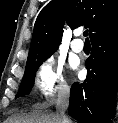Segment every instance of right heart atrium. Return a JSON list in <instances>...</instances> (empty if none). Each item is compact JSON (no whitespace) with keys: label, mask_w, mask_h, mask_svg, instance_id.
<instances>
[{"label":"right heart atrium","mask_w":118,"mask_h":123,"mask_svg":"<svg viewBox=\"0 0 118 123\" xmlns=\"http://www.w3.org/2000/svg\"><path fill=\"white\" fill-rule=\"evenodd\" d=\"M34 83L46 104L54 103L69 91V86L64 78L63 65L54 57H48L37 67Z\"/></svg>","instance_id":"1"}]
</instances>
